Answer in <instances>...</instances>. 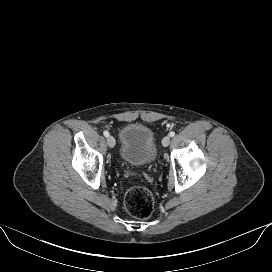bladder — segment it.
Masks as SVG:
<instances>
[{
  "mask_svg": "<svg viewBox=\"0 0 272 272\" xmlns=\"http://www.w3.org/2000/svg\"><path fill=\"white\" fill-rule=\"evenodd\" d=\"M120 156L128 164L145 166L157 157V144L153 131L142 124H128L120 133Z\"/></svg>",
  "mask_w": 272,
  "mask_h": 272,
  "instance_id": "31cf9c89",
  "label": "bladder"
}]
</instances>
